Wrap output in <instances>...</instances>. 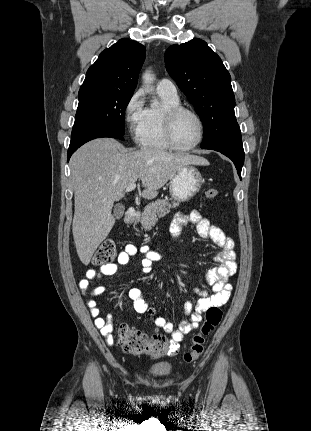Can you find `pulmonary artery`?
<instances>
[{
  "instance_id": "e3ab8cb5",
  "label": "pulmonary artery",
  "mask_w": 311,
  "mask_h": 431,
  "mask_svg": "<svg viewBox=\"0 0 311 431\" xmlns=\"http://www.w3.org/2000/svg\"><path fill=\"white\" fill-rule=\"evenodd\" d=\"M157 90L160 93L170 96H177V88L175 84L167 78L161 79L157 83Z\"/></svg>"
}]
</instances>
